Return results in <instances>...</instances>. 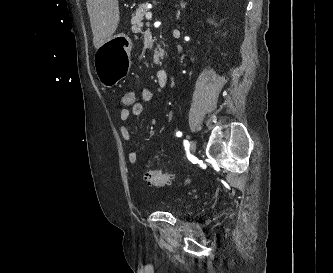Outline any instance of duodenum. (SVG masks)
Segmentation results:
<instances>
[{"label":"duodenum","instance_id":"duodenum-1","mask_svg":"<svg viewBox=\"0 0 333 273\" xmlns=\"http://www.w3.org/2000/svg\"><path fill=\"white\" fill-rule=\"evenodd\" d=\"M169 73L166 69H161L157 72V82L159 86L165 87L168 83Z\"/></svg>","mask_w":333,"mask_h":273}]
</instances>
